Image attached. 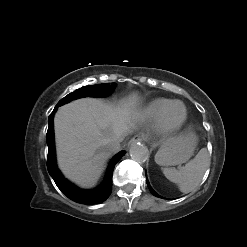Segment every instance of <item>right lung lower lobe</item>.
<instances>
[{
	"label": "right lung lower lobe",
	"instance_id": "1",
	"mask_svg": "<svg viewBox=\"0 0 247 247\" xmlns=\"http://www.w3.org/2000/svg\"><path fill=\"white\" fill-rule=\"evenodd\" d=\"M61 105L57 104L53 112L48 118L49 127L46 134V140L48 145V157H47V169L51 177L53 178L57 187L62 191L69 199L82 204L93 205L102 203L105 201L112 191V173L115 164L125 154V151L119 152L109 163L107 175L101 186L94 190H81L67 181L56 166L55 147H54V133H53V115L57 110V107Z\"/></svg>",
	"mask_w": 247,
	"mask_h": 247
}]
</instances>
